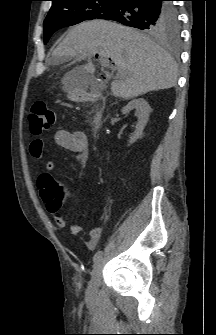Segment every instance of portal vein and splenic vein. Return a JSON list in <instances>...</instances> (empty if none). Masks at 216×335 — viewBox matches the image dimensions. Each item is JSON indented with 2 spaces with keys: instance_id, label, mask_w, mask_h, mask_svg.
I'll return each instance as SVG.
<instances>
[{
  "instance_id": "obj_1",
  "label": "portal vein and splenic vein",
  "mask_w": 216,
  "mask_h": 335,
  "mask_svg": "<svg viewBox=\"0 0 216 335\" xmlns=\"http://www.w3.org/2000/svg\"><path fill=\"white\" fill-rule=\"evenodd\" d=\"M85 57H87V56H85ZM100 63L103 67L114 68L113 64H110L109 60L107 58H101Z\"/></svg>"
}]
</instances>
